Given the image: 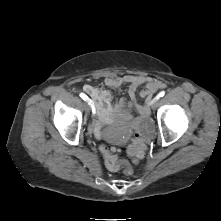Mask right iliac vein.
<instances>
[{"label": "right iliac vein", "mask_w": 221, "mask_h": 221, "mask_svg": "<svg viewBox=\"0 0 221 221\" xmlns=\"http://www.w3.org/2000/svg\"><path fill=\"white\" fill-rule=\"evenodd\" d=\"M84 110H85L86 113H89V112H90L89 103H84Z\"/></svg>", "instance_id": "63e3f726"}]
</instances>
